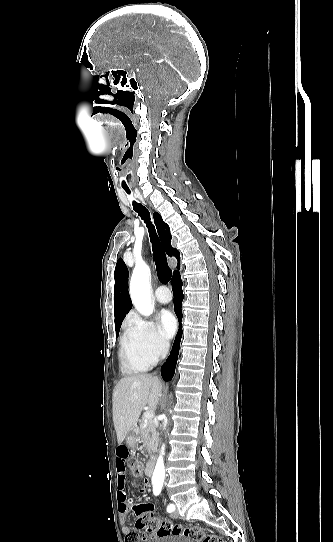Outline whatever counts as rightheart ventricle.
Returning <instances> with one entry per match:
<instances>
[{
    "mask_svg": "<svg viewBox=\"0 0 333 542\" xmlns=\"http://www.w3.org/2000/svg\"><path fill=\"white\" fill-rule=\"evenodd\" d=\"M120 357L122 368L127 373L147 371L156 361L155 357L127 337L121 341Z\"/></svg>",
    "mask_w": 333,
    "mask_h": 542,
    "instance_id": "right-heart-ventricle-1",
    "label": "right heart ventricle"
}]
</instances>
